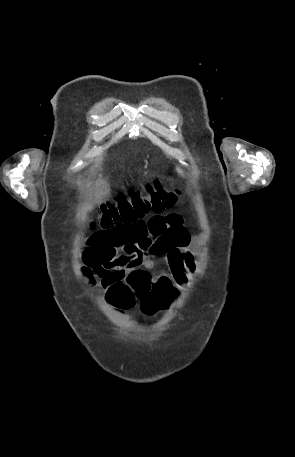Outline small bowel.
I'll return each instance as SVG.
<instances>
[{
    "label": "small bowel",
    "instance_id": "c3829d8e",
    "mask_svg": "<svg viewBox=\"0 0 295 457\" xmlns=\"http://www.w3.org/2000/svg\"><path fill=\"white\" fill-rule=\"evenodd\" d=\"M193 238L183 225L181 214L154 215L139 219L126 226L101 229L92 233L86 240L83 262L92 269L94 263L103 260L118 250L125 252L135 246L140 253L135 256L138 263L127 269L126 285L135 293L137 287L149 282L151 285L169 281L173 288L184 287L196 271V254L193 251ZM162 256L167 269L161 274L151 275L155 266L154 258ZM102 285L108 288L102 280Z\"/></svg>",
    "mask_w": 295,
    "mask_h": 457
}]
</instances>
